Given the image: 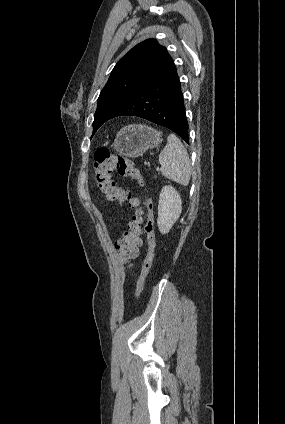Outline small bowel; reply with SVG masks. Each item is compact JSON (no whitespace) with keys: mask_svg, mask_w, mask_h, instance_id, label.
<instances>
[{"mask_svg":"<svg viewBox=\"0 0 285 424\" xmlns=\"http://www.w3.org/2000/svg\"><path fill=\"white\" fill-rule=\"evenodd\" d=\"M138 254H139V248L137 249V251H136V255L134 256V257H136V256H138ZM133 257V258H134ZM131 267V265H129V268Z\"/></svg>","mask_w":285,"mask_h":424,"instance_id":"small-bowel-1","label":"small bowel"}]
</instances>
